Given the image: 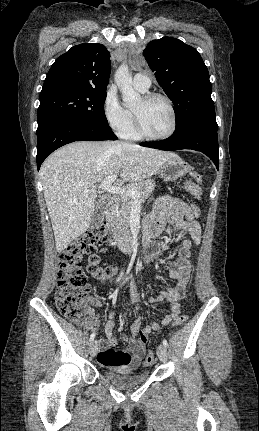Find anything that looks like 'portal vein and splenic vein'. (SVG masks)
<instances>
[{"label":"portal vein and splenic vein","instance_id":"portal-vein-and-splenic-vein-1","mask_svg":"<svg viewBox=\"0 0 259 431\" xmlns=\"http://www.w3.org/2000/svg\"><path fill=\"white\" fill-rule=\"evenodd\" d=\"M116 178V175L108 177L98 186V189H102L113 194L127 195L132 197L133 199H136L139 196V192L133 189L112 185Z\"/></svg>","mask_w":259,"mask_h":431}]
</instances>
